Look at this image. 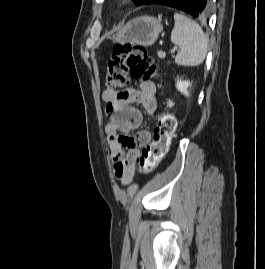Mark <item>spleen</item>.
<instances>
[{
	"label": "spleen",
	"mask_w": 265,
	"mask_h": 269,
	"mask_svg": "<svg viewBox=\"0 0 265 269\" xmlns=\"http://www.w3.org/2000/svg\"><path fill=\"white\" fill-rule=\"evenodd\" d=\"M174 21L171 42L180 48L175 63L191 67L200 65L207 55L208 37L195 21L181 13H174Z\"/></svg>",
	"instance_id": "obj_1"
}]
</instances>
